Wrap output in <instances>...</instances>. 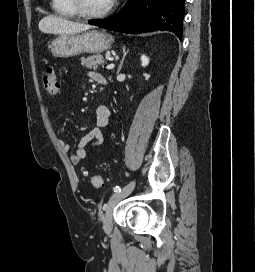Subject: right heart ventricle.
<instances>
[{
	"mask_svg": "<svg viewBox=\"0 0 255 272\" xmlns=\"http://www.w3.org/2000/svg\"><path fill=\"white\" fill-rule=\"evenodd\" d=\"M51 9L57 15L75 18L78 16L76 11L73 9L70 0H51Z\"/></svg>",
	"mask_w": 255,
	"mask_h": 272,
	"instance_id": "right-heart-ventricle-1",
	"label": "right heart ventricle"
}]
</instances>
